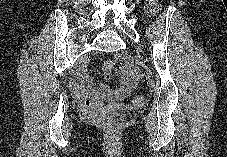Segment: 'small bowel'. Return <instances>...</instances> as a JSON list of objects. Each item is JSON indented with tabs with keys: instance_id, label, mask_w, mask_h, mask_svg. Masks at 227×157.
<instances>
[{
	"instance_id": "c3829d8e",
	"label": "small bowel",
	"mask_w": 227,
	"mask_h": 157,
	"mask_svg": "<svg viewBox=\"0 0 227 157\" xmlns=\"http://www.w3.org/2000/svg\"><path fill=\"white\" fill-rule=\"evenodd\" d=\"M115 62L116 59L112 58L104 64L103 70L106 80L111 79V69ZM117 76L121 83L118 87L111 89L107 85L98 86L88 72L82 71L71 83V92L81 105L88 108L98 106L103 100L123 99L136 85L139 71L124 63Z\"/></svg>"
}]
</instances>
